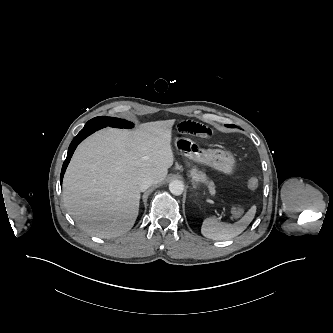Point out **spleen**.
Masks as SVG:
<instances>
[{
	"instance_id": "obj_1",
	"label": "spleen",
	"mask_w": 333,
	"mask_h": 333,
	"mask_svg": "<svg viewBox=\"0 0 333 333\" xmlns=\"http://www.w3.org/2000/svg\"><path fill=\"white\" fill-rule=\"evenodd\" d=\"M232 212L236 213V208H232ZM256 213V206H252L248 212L236 223H222L214 218H207L203 221L201 233L204 237L213 240H228L241 234L250 222L253 220Z\"/></svg>"
}]
</instances>
